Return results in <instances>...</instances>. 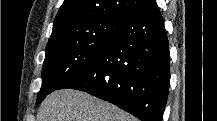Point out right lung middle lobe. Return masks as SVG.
<instances>
[{
    "mask_svg": "<svg viewBox=\"0 0 217 121\" xmlns=\"http://www.w3.org/2000/svg\"><path fill=\"white\" fill-rule=\"evenodd\" d=\"M124 23L113 19L81 23L49 42L37 104L63 82L91 64Z\"/></svg>",
    "mask_w": 217,
    "mask_h": 121,
    "instance_id": "right-lung-middle-lobe-1",
    "label": "right lung middle lobe"
}]
</instances>
